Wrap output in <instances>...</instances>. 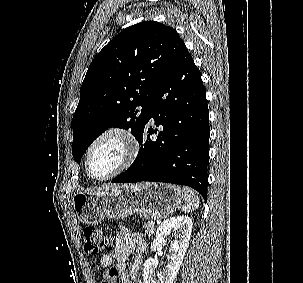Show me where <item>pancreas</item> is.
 Here are the masks:
<instances>
[{
	"instance_id": "obj_1",
	"label": "pancreas",
	"mask_w": 303,
	"mask_h": 283,
	"mask_svg": "<svg viewBox=\"0 0 303 283\" xmlns=\"http://www.w3.org/2000/svg\"><path fill=\"white\" fill-rule=\"evenodd\" d=\"M153 223H154L153 221H148L143 226L145 228L146 234L149 235V236L153 235L154 232H155V229H156V227Z\"/></svg>"
}]
</instances>
